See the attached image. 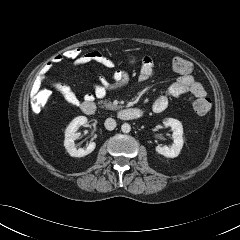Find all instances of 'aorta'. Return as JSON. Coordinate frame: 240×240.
<instances>
[{"label":"aorta","instance_id":"1","mask_svg":"<svg viewBox=\"0 0 240 240\" xmlns=\"http://www.w3.org/2000/svg\"><path fill=\"white\" fill-rule=\"evenodd\" d=\"M121 130L123 133H129L131 131V126L130 124L128 123H124L122 126H121Z\"/></svg>","mask_w":240,"mask_h":240}]
</instances>
